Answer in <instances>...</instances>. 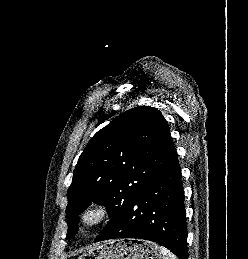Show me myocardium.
Segmentation results:
<instances>
[{"instance_id":"obj_1","label":"myocardium","mask_w":248,"mask_h":259,"mask_svg":"<svg viewBox=\"0 0 248 259\" xmlns=\"http://www.w3.org/2000/svg\"><path fill=\"white\" fill-rule=\"evenodd\" d=\"M110 216V209L104 203H93L82 210L79 225L83 230L90 231L104 224Z\"/></svg>"}]
</instances>
